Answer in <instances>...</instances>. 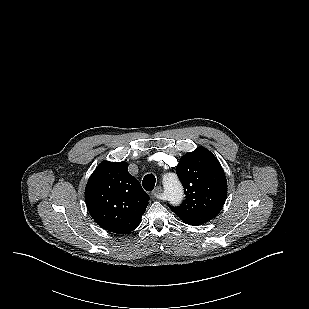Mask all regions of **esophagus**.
<instances>
[{"mask_svg":"<svg viewBox=\"0 0 309 309\" xmlns=\"http://www.w3.org/2000/svg\"><path fill=\"white\" fill-rule=\"evenodd\" d=\"M162 187L158 186L155 188V190L153 191L152 195L155 197V198H158L160 199L161 198V194H162Z\"/></svg>","mask_w":309,"mask_h":309,"instance_id":"esophagus-1","label":"esophagus"}]
</instances>
